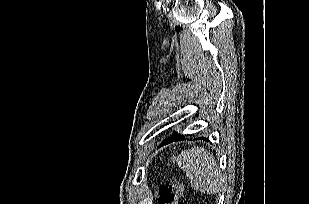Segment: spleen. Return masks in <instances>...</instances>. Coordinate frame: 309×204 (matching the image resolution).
Segmentation results:
<instances>
[{
	"mask_svg": "<svg viewBox=\"0 0 309 204\" xmlns=\"http://www.w3.org/2000/svg\"><path fill=\"white\" fill-rule=\"evenodd\" d=\"M177 165L190 180L196 191L217 193L221 187V174L213 155L202 147L183 151L177 157Z\"/></svg>",
	"mask_w": 309,
	"mask_h": 204,
	"instance_id": "obj_1",
	"label": "spleen"
}]
</instances>
